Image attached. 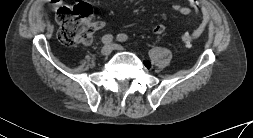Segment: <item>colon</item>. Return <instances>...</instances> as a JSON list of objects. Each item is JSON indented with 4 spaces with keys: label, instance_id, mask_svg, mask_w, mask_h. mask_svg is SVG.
Listing matches in <instances>:
<instances>
[{
    "label": "colon",
    "instance_id": "colon-1",
    "mask_svg": "<svg viewBox=\"0 0 253 138\" xmlns=\"http://www.w3.org/2000/svg\"><path fill=\"white\" fill-rule=\"evenodd\" d=\"M92 8L84 2H79L71 7H61L56 12V20L59 24L58 37L66 46L88 44L95 30L90 21ZM199 36L197 33H184L181 40L185 45H191Z\"/></svg>",
    "mask_w": 253,
    "mask_h": 138
}]
</instances>
